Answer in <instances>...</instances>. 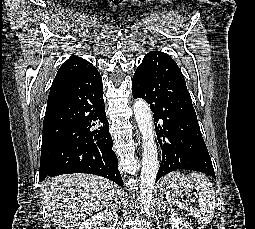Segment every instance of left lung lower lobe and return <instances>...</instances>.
Wrapping results in <instances>:
<instances>
[{"label":"left lung lower lobe","instance_id":"left-lung-lower-lobe-1","mask_svg":"<svg viewBox=\"0 0 255 229\" xmlns=\"http://www.w3.org/2000/svg\"><path fill=\"white\" fill-rule=\"evenodd\" d=\"M132 94L150 104L163 156L156 180L179 169L215 173L184 76L166 53L145 55L132 78Z\"/></svg>","mask_w":255,"mask_h":229}]
</instances>
